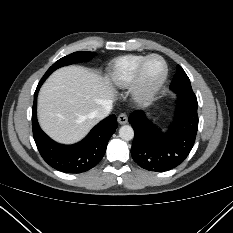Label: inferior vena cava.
<instances>
[{
	"instance_id": "1",
	"label": "inferior vena cava",
	"mask_w": 233,
	"mask_h": 233,
	"mask_svg": "<svg viewBox=\"0 0 233 233\" xmlns=\"http://www.w3.org/2000/svg\"><path fill=\"white\" fill-rule=\"evenodd\" d=\"M112 107H113L112 102L107 101V102H105V104L103 106H101L97 110L93 111L90 114V116L92 118L102 120L110 114Z\"/></svg>"
}]
</instances>
